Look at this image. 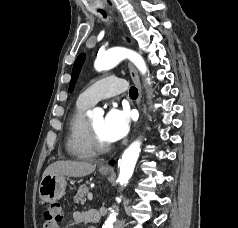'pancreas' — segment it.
<instances>
[{
    "mask_svg": "<svg viewBox=\"0 0 238 228\" xmlns=\"http://www.w3.org/2000/svg\"><path fill=\"white\" fill-rule=\"evenodd\" d=\"M89 193V188L86 185H81L77 191V194L74 196L73 200L75 203L81 202L84 204L86 202V195Z\"/></svg>",
    "mask_w": 238,
    "mask_h": 228,
    "instance_id": "cf45deb5",
    "label": "pancreas"
}]
</instances>
